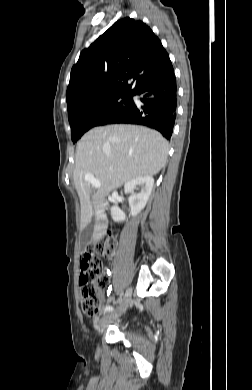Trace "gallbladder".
Wrapping results in <instances>:
<instances>
[{"label": "gallbladder", "instance_id": "bac80fb5", "mask_svg": "<svg viewBox=\"0 0 252 390\" xmlns=\"http://www.w3.org/2000/svg\"><path fill=\"white\" fill-rule=\"evenodd\" d=\"M95 225V219L92 218L91 222L82 230L81 232V239L84 243H87L90 240V237L93 233Z\"/></svg>", "mask_w": 252, "mask_h": 390}]
</instances>
